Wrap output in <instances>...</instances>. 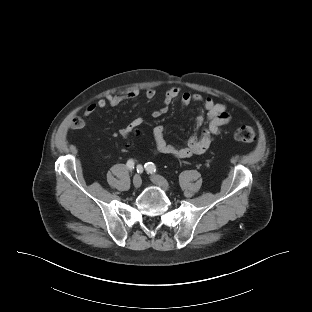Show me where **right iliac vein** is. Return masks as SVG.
I'll list each match as a JSON object with an SVG mask.
<instances>
[{"mask_svg": "<svg viewBox=\"0 0 312 312\" xmlns=\"http://www.w3.org/2000/svg\"><path fill=\"white\" fill-rule=\"evenodd\" d=\"M142 184V179H141V176L136 174L134 177H133V185L135 188H139Z\"/></svg>", "mask_w": 312, "mask_h": 312, "instance_id": "obj_1", "label": "right iliac vein"}]
</instances>
